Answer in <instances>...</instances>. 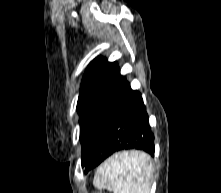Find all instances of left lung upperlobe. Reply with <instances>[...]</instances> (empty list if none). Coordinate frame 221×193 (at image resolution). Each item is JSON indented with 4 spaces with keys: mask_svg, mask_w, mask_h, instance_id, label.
Returning a JSON list of instances; mask_svg holds the SVG:
<instances>
[{
    "mask_svg": "<svg viewBox=\"0 0 221 193\" xmlns=\"http://www.w3.org/2000/svg\"><path fill=\"white\" fill-rule=\"evenodd\" d=\"M124 78L115 62L99 57L88 66L77 103L84 166L109 124V111Z\"/></svg>",
    "mask_w": 221,
    "mask_h": 193,
    "instance_id": "left-lung-upper-lobe-1",
    "label": "left lung upper lobe"
}]
</instances>
